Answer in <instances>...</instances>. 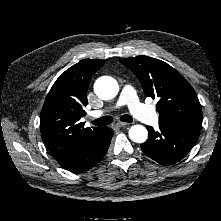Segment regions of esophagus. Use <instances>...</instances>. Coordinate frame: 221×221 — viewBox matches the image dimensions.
Masks as SVG:
<instances>
[{"label": "esophagus", "mask_w": 221, "mask_h": 221, "mask_svg": "<svg viewBox=\"0 0 221 221\" xmlns=\"http://www.w3.org/2000/svg\"><path fill=\"white\" fill-rule=\"evenodd\" d=\"M116 125H117L118 127H127V126L130 125V123H126V122H118Z\"/></svg>", "instance_id": "34e87169"}]
</instances>
